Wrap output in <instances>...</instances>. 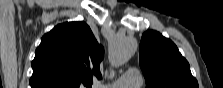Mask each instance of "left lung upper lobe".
Wrapping results in <instances>:
<instances>
[{"mask_svg":"<svg viewBox=\"0 0 223 88\" xmlns=\"http://www.w3.org/2000/svg\"><path fill=\"white\" fill-rule=\"evenodd\" d=\"M139 64L146 88H198L187 60L177 46L159 32L147 31L143 34Z\"/></svg>","mask_w":223,"mask_h":88,"instance_id":"5c2ea615","label":"left lung upper lobe"}]
</instances>
